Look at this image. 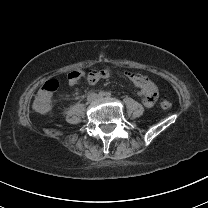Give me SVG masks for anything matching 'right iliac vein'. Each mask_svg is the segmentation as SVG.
Instances as JSON below:
<instances>
[{
	"mask_svg": "<svg viewBox=\"0 0 208 208\" xmlns=\"http://www.w3.org/2000/svg\"><path fill=\"white\" fill-rule=\"evenodd\" d=\"M97 96L95 94H91L89 97H88V100L89 101H94L96 100Z\"/></svg>",
	"mask_w": 208,
	"mask_h": 208,
	"instance_id": "63e3f726",
	"label": "right iliac vein"
}]
</instances>
